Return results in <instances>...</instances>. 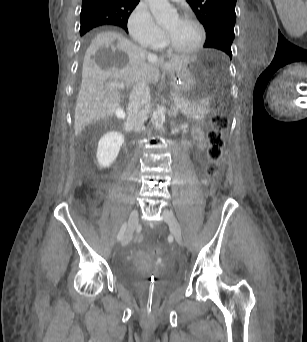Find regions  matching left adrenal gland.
<instances>
[{
	"label": "left adrenal gland",
	"instance_id": "a2214340",
	"mask_svg": "<svg viewBox=\"0 0 307 342\" xmlns=\"http://www.w3.org/2000/svg\"><path fill=\"white\" fill-rule=\"evenodd\" d=\"M171 108H172L173 118H177V110H178V108H176V106H174V104H172Z\"/></svg>",
	"mask_w": 307,
	"mask_h": 342
}]
</instances>
